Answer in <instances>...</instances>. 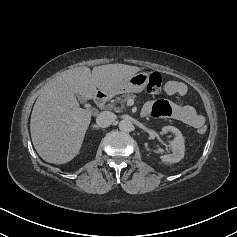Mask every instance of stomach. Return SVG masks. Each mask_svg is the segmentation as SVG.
<instances>
[{"instance_id":"stomach-1","label":"stomach","mask_w":237,"mask_h":237,"mask_svg":"<svg viewBox=\"0 0 237 237\" xmlns=\"http://www.w3.org/2000/svg\"><path fill=\"white\" fill-rule=\"evenodd\" d=\"M149 75L146 72H140L130 76L129 78L119 82L113 88L105 91L108 95H116L121 93H140L148 82Z\"/></svg>"}]
</instances>
